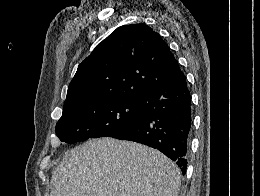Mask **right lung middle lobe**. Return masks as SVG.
<instances>
[{
    "label": "right lung middle lobe",
    "instance_id": "obj_1",
    "mask_svg": "<svg viewBox=\"0 0 260 196\" xmlns=\"http://www.w3.org/2000/svg\"><path fill=\"white\" fill-rule=\"evenodd\" d=\"M144 118L138 99L106 95L64 107L56 133L61 141L71 144L89 138L111 137Z\"/></svg>",
    "mask_w": 260,
    "mask_h": 196
}]
</instances>
